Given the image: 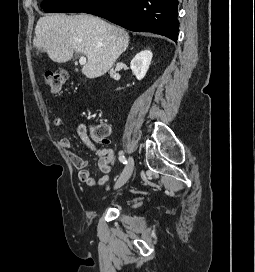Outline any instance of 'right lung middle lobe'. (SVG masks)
Segmentation results:
<instances>
[{"label": "right lung middle lobe", "mask_w": 255, "mask_h": 272, "mask_svg": "<svg viewBox=\"0 0 255 272\" xmlns=\"http://www.w3.org/2000/svg\"><path fill=\"white\" fill-rule=\"evenodd\" d=\"M98 0H45L41 7L49 13L83 12Z\"/></svg>", "instance_id": "dd1d6c3e"}]
</instances>
